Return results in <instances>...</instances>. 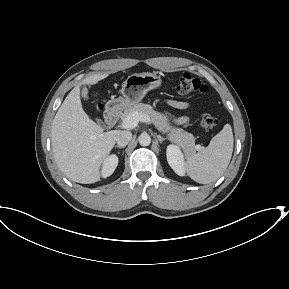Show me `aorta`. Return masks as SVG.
Returning <instances> with one entry per match:
<instances>
[{
    "label": "aorta",
    "mask_w": 289,
    "mask_h": 289,
    "mask_svg": "<svg viewBox=\"0 0 289 289\" xmlns=\"http://www.w3.org/2000/svg\"><path fill=\"white\" fill-rule=\"evenodd\" d=\"M151 143V137L148 134H141L139 136V144L141 146H148Z\"/></svg>",
    "instance_id": "1"
}]
</instances>
